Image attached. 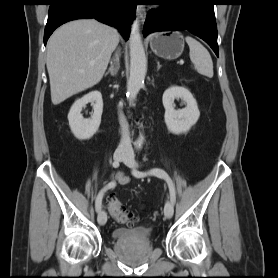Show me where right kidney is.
I'll use <instances>...</instances> for the list:
<instances>
[{"label":"right kidney","instance_id":"ca27d5eb","mask_svg":"<svg viewBox=\"0 0 278 278\" xmlns=\"http://www.w3.org/2000/svg\"><path fill=\"white\" fill-rule=\"evenodd\" d=\"M88 103L92 104L94 112L91 118L85 119L81 111ZM102 112L103 100L99 91H92L76 100L68 114L69 126L74 136L79 140L90 139L100 126Z\"/></svg>","mask_w":278,"mask_h":278}]
</instances>
